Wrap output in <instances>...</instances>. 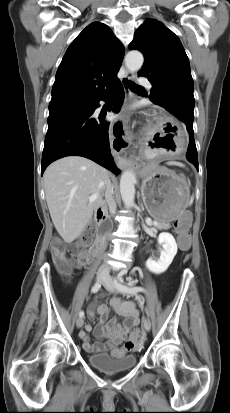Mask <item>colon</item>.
I'll use <instances>...</instances> for the list:
<instances>
[{
	"instance_id": "obj_1",
	"label": "colon",
	"mask_w": 230,
	"mask_h": 413,
	"mask_svg": "<svg viewBox=\"0 0 230 413\" xmlns=\"http://www.w3.org/2000/svg\"><path fill=\"white\" fill-rule=\"evenodd\" d=\"M189 226V216L183 214L175 223L179 232V251L188 252L192 246V241L187 236ZM92 232L84 235L76 244L71 247L72 257L77 261H85L88 258V246L92 241ZM51 256L57 270L64 276L70 275L73 268V261L66 256V247L63 242L54 241L51 246ZM142 333L136 330L130 340L127 341L126 348L130 351L141 346Z\"/></svg>"
}]
</instances>
